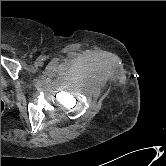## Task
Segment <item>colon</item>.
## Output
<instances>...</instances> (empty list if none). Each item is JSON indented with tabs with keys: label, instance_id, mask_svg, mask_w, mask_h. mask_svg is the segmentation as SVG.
Returning <instances> with one entry per match:
<instances>
[{
	"label": "colon",
	"instance_id": "colon-1",
	"mask_svg": "<svg viewBox=\"0 0 166 166\" xmlns=\"http://www.w3.org/2000/svg\"><path fill=\"white\" fill-rule=\"evenodd\" d=\"M4 109H5V104L3 100H1V114L3 113Z\"/></svg>",
	"mask_w": 166,
	"mask_h": 166
}]
</instances>
